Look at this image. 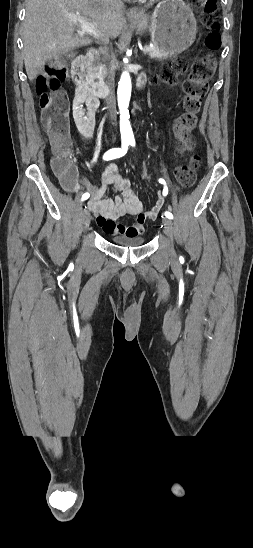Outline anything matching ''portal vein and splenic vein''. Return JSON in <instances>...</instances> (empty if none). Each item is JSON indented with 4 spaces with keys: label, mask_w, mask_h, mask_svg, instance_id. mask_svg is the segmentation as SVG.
<instances>
[{
    "label": "portal vein and splenic vein",
    "mask_w": 253,
    "mask_h": 548,
    "mask_svg": "<svg viewBox=\"0 0 253 548\" xmlns=\"http://www.w3.org/2000/svg\"><path fill=\"white\" fill-rule=\"evenodd\" d=\"M73 19L79 23L80 32L82 34L83 33H88L89 35L94 36V37L99 36L94 24L92 22H90L89 19H87V17L78 15V16H74ZM151 49H152V47L145 46L144 52H148Z\"/></svg>",
    "instance_id": "1"
}]
</instances>
